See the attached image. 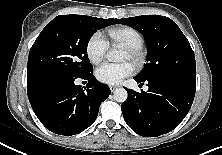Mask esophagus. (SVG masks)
I'll return each mask as SVG.
<instances>
[{"label": "esophagus", "mask_w": 222, "mask_h": 155, "mask_svg": "<svg viewBox=\"0 0 222 155\" xmlns=\"http://www.w3.org/2000/svg\"><path fill=\"white\" fill-rule=\"evenodd\" d=\"M109 88H110L111 92H113V91H115L118 88V86L110 85Z\"/></svg>", "instance_id": "obj_1"}]
</instances>
